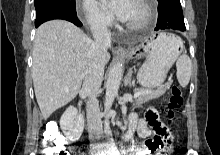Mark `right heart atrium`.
I'll use <instances>...</instances> for the list:
<instances>
[{
    "label": "right heart atrium",
    "mask_w": 220,
    "mask_h": 155,
    "mask_svg": "<svg viewBox=\"0 0 220 155\" xmlns=\"http://www.w3.org/2000/svg\"><path fill=\"white\" fill-rule=\"evenodd\" d=\"M80 17L93 30H107L113 23L111 15L102 9L95 0H82Z\"/></svg>",
    "instance_id": "right-heart-atrium-1"
}]
</instances>
